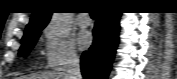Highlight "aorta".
<instances>
[{"label":"aorta","instance_id":"762f6f07","mask_svg":"<svg viewBox=\"0 0 177 79\" xmlns=\"http://www.w3.org/2000/svg\"><path fill=\"white\" fill-rule=\"evenodd\" d=\"M70 13H54L50 21V27L57 36L65 37L71 31Z\"/></svg>","mask_w":177,"mask_h":79}]
</instances>
